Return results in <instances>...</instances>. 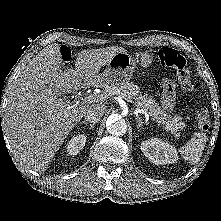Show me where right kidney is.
Instances as JSON below:
<instances>
[{"mask_svg": "<svg viewBox=\"0 0 221 221\" xmlns=\"http://www.w3.org/2000/svg\"><path fill=\"white\" fill-rule=\"evenodd\" d=\"M86 136L84 134H78L73 136L66 144V151L69 155H77L85 146Z\"/></svg>", "mask_w": 221, "mask_h": 221, "instance_id": "obj_1", "label": "right kidney"}]
</instances>
